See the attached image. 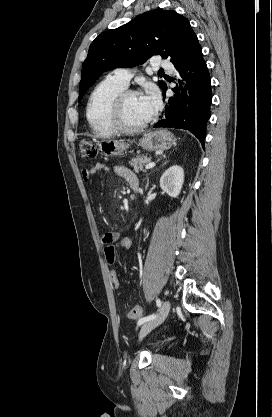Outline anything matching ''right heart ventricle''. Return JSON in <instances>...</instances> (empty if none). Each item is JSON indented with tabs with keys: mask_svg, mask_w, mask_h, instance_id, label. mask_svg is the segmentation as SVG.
<instances>
[{
	"mask_svg": "<svg viewBox=\"0 0 272 417\" xmlns=\"http://www.w3.org/2000/svg\"><path fill=\"white\" fill-rule=\"evenodd\" d=\"M126 87L110 77L105 78L91 92L87 106L86 118L92 131L99 137L108 138L116 134L110 123V108L115 97Z\"/></svg>",
	"mask_w": 272,
	"mask_h": 417,
	"instance_id": "right-heart-ventricle-1",
	"label": "right heart ventricle"
}]
</instances>
